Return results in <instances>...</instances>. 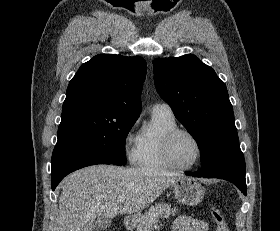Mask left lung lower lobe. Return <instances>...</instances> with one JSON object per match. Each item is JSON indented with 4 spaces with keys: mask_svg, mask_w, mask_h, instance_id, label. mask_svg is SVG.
Wrapping results in <instances>:
<instances>
[{
    "mask_svg": "<svg viewBox=\"0 0 280 231\" xmlns=\"http://www.w3.org/2000/svg\"><path fill=\"white\" fill-rule=\"evenodd\" d=\"M196 177L219 178L232 182L247 195L245 180V160L241 149L233 150L219 156L198 172H186Z\"/></svg>",
    "mask_w": 280,
    "mask_h": 231,
    "instance_id": "obj_1",
    "label": "left lung lower lobe"
}]
</instances>
